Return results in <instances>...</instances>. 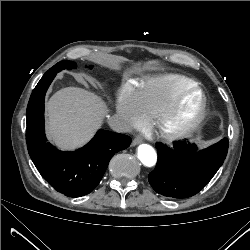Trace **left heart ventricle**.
<instances>
[{
	"instance_id": "obj_1",
	"label": "left heart ventricle",
	"mask_w": 250,
	"mask_h": 250,
	"mask_svg": "<svg viewBox=\"0 0 250 250\" xmlns=\"http://www.w3.org/2000/svg\"><path fill=\"white\" fill-rule=\"evenodd\" d=\"M199 106V96L198 94H190L187 96L179 109V112L175 118V121H184L191 117L197 110Z\"/></svg>"
}]
</instances>
